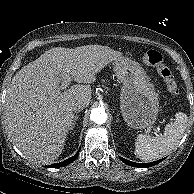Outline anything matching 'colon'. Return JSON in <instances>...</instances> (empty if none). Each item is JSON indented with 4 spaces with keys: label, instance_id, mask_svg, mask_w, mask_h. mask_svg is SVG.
I'll return each mask as SVG.
<instances>
[{
    "label": "colon",
    "instance_id": "1",
    "mask_svg": "<svg viewBox=\"0 0 194 194\" xmlns=\"http://www.w3.org/2000/svg\"><path fill=\"white\" fill-rule=\"evenodd\" d=\"M142 60L147 65L153 66L156 69L170 94L177 95L179 93L177 81L171 70L164 63L163 56L160 52L149 50L143 54Z\"/></svg>",
    "mask_w": 194,
    "mask_h": 194
}]
</instances>
